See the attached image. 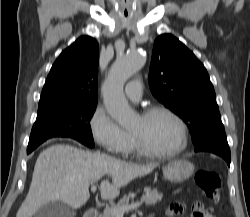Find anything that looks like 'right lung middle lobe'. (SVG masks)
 <instances>
[{
	"label": "right lung middle lobe",
	"mask_w": 250,
	"mask_h": 217,
	"mask_svg": "<svg viewBox=\"0 0 250 217\" xmlns=\"http://www.w3.org/2000/svg\"><path fill=\"white\" fill-rule=\"evenodd\" d=\"M96 103L79 104L37 114L33 125L27 154L52 137H69L94 147L90 120Z\"/></svg>",
	"instance_id": "dd1d6c3e"
}]
</instances>
